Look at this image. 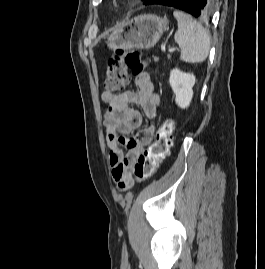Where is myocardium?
I'll use <instances>...</instances> for the list:
<instances>
[{"label":"myocardium","instance_id":"obj_1","mask_svg":"<svg viewBox=\"0 0 265 269\" xmlns=\"http://www.w3.org/2000/svg\"><path fill=\"white\" fill-rule=\"evenodd\" d=\"M119 3H121V4H125V3H127V2H129L130 0H117Z\"/></svg>","mask_w":265,"mask_h":269}]
</instances>
